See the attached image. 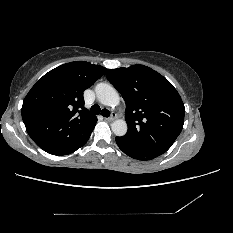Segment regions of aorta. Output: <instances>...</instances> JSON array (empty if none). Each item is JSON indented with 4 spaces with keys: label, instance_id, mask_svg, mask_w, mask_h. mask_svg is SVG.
Here are the masks:
<instances>
[{
    "label": "aorta",
    "instance_id": "1",
    "mask_svg": "<svg viewBox=\"0 0 233 233\" xmlns=\"http://www.w3.org/2000/svg\"><path fill=\"white\" fill-rule=\"evenodd\" d=\"M98 101L109 107H116L120 103V96L116 89L107 83H99L95 87ZM116 136H124L127 132V123L123 119L115 120L111 125Z\"/></svg>",
    "mask_w": 233,
    "mask_h": 233
}]
</instances>
